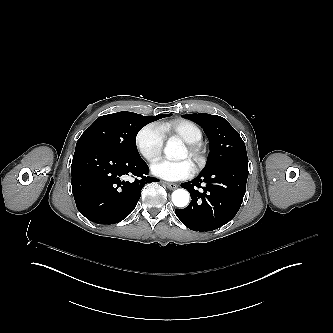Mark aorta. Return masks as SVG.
I'll return each mask as SVG.
<instances>
[{"label":"aorta","mask_w":333,"mask_h":333,"mask_svg":"<svg viewBox=\"0 0 333 333\" xmlns=\"http://www.w3.org/2000/svg\"><path fill=\"white\" fill-rule=\"evenodd\" d=\"M181 147V142L172 137L167 141L164 153L167 157H173L174 152ZM189 192L185 189H177L172 193V202L176 207H185L189 203Z\"/></svg>","instance_id":"obj_1"}]
</instances>
